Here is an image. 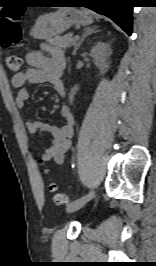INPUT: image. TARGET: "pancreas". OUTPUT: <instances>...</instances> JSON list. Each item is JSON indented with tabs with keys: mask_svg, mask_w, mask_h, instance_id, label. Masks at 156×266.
Listing matches in <instances>:
<instances>
[{
	"mask_svg": "<svg viewBox=\"0 0 156 266\" xmlns=\"http://www.w3.org/2000/svg\"><path fill=\"white\" fill-rule=\"evenodd\" d=\"M48 43L50 47L66 49L74 44V41L72 36H56L54 38H50Z\"/></svg>",
	"mask_w": 156,
	"mask_h": 266,
	"instance_id": "pancreas-1",
	"label": "pancreas"
}]
</instances>
